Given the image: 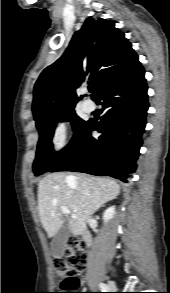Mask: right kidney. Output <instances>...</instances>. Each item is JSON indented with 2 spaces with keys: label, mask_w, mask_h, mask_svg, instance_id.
Segmentation results:
<instances>
[{
  "label": "right kidney",
  "mask_w": 170,
  "mask_h": 293,
  "mask_svg": "<svg viewBox=\"0 0 170 293\" xmlns=\"http://www.w3.org/2000/svg\"><path fill=\"white\" fill-rule=\"evenodd\" d=\"M115 214V206H111L109 207L105 212H104V215H103V220L105 223H107L110 219L113 218Z\"/></svg>",
  "instance_id": "right-kidney-1"
}]
</instances>
